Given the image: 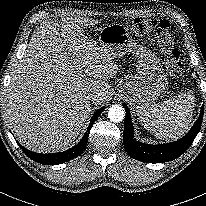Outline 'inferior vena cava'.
<instances>
[{
    "label": "inferior vena cava",
    "instance_id": "1",
    "mask_svg": "<svg viewBox=\"0 0 206 206\" xmlns=\"http://www.w3.org/2000/svg\"><path fill=\"white\" fill-rule=\"evenodd\" d=\"M88 97H89V100L92 102H96L100 99L99 94H96V93H91L88 95Z\"/></svg>",
    "mask_w": 206,
    "mask_h": 206
}]
</instances>
